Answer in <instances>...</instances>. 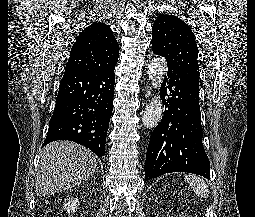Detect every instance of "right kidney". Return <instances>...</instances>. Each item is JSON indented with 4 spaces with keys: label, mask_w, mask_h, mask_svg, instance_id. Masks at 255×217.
I'll use <instances>...</instances> for the list:
<instances>
[{
    "label": "right kidney",
    "mask_w": 255,
    "mask_h": 217,
    "mask_svg": "<svg viewBox=\"0 0 255 217\" xmlns=\"http://www.w3.org/2000/svg\"><path fill=\"white\" fill-rule=\"evenodd\" d=\"M78 204H79L78 198L72 197L63 205V209L68 213L74 212L77 209Z\"/></svg>",
    "instance_id": "ca27d5eb"
}]
</instances>
